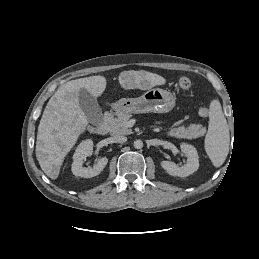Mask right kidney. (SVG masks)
<instances>
[{
  "label": "right kidney",
  "instance_id": "ca27d5eb",
  "mask_svg": "<svg viewBox=\"0 0 259 259\" xmlns=\"http://www.w3.org/2000/svg\"><path fill=\"white\" fill-rule=\"evenodd\" d=\"M93 152V141L87 139L82 141L73 155L72 173L77 177L91 178L99 175L108 163L106 157L101 158L93 167H83V161Z\"/></svg>",
  "mask_w": 259,
  "mask_h": 259
}]
</instances>
